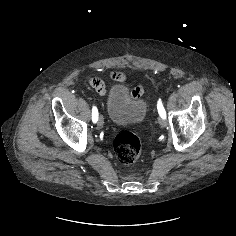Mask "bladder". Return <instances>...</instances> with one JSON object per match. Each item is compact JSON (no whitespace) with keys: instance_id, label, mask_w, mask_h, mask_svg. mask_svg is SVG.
Wrapping results in <instances>:
<instances>
[{"instance_id":"bladder-1","label":"bladder","mask_w":236,"mask_h":236,"mask_svg":"<svg viewBox=\"0 0 236 236\" xmlns=\"http://www.w3.org/2000/svg\"><path fill=\"white\" fill-rule=\"evenodd\" d=\"M147 102L136 97L123 84L113 85L107 95L106 110L110 121L131 126L141 123L147 114Z\"/></svg>"}]
</instances>
